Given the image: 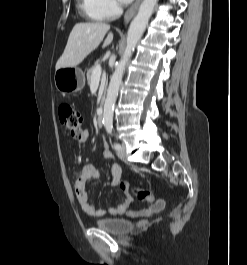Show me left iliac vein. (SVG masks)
I'll return each mask as SVG.
<instances>
[{"instance_id": "4c4485c4", "label": "left iliac vein", "mask_w": 247, "mask_h": 265, "mask_svg": "<svg viewBox=\"0 0 247 265\" xmlns=\"http://www.w3.org/2000/svg\"><path fill=\"white\" fill-rule=\"evenodd\" d=\"M118 156L121 158L126 157V147L124 144H121L120 148L117 150Z\"/></svg>"}]
</instances>
